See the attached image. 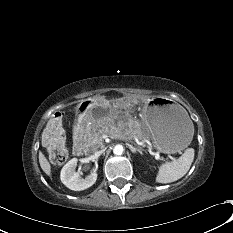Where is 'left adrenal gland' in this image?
<instances>
[{
  "mask_svg": "<svg viewBox=\"0 0 233 233\" xmlns=\"http://www.w3.org/2000/svg\"><path fill=\"white\" fill-rule=\"evenodd\" d=\"M129 148H130V150H131L132 153L138 152V153H140L141 155L143 154L142 148H141V147H137V146L134 147L133 145H129Z\"/></svg>",
  "mask_w": 233,
  "mask_h": 233,
  "instance_id": "left-adrenal-gland-1",
  "label": "left adrenal gland"
}]
</instances>
